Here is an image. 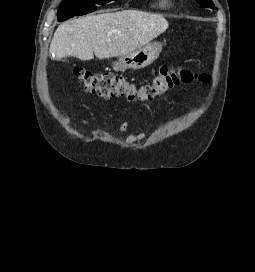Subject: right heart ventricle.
<instances>
[{"mask_svg": "<svg viewBox=\"0 0 255 272\" xmlns=\"http://www.w3.org/2000/svg\"><path fill=\"white\" fill-rule=\"evenodd\" d=\"M156 4L160 9H167L170 7L171 2L170 0H158Z\"/></svg>", "mask_w": 255, "mask_h": 272, "instance_id": "1", "label": "right heart ventricle"}]
</instances>
